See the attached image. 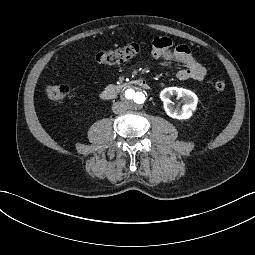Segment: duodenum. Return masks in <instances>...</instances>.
Here are the masks:
<instances>
[{"instance_id": "obj_1", "label": "duodenum", "mask_w": 255, "mask_h": 255, "mask_svg": "<svg viewBox=\"0 0 255 255\" xmlns=\"http://www.w3.org/2000/svg\"><path fill=\"white\" fill-rule=\"evenodd\" d=\"M139 87L141 89H149V83L143 78H135L127 82L110 85L103 89L100 93V97L104 100L114 99L119 92L127 88Z\"/></svg>"}]
</instances>
